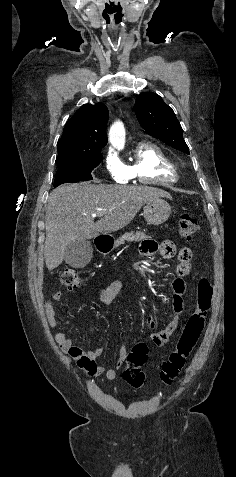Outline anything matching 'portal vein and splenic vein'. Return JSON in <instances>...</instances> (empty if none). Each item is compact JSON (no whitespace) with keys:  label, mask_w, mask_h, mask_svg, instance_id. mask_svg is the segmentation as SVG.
Segmentation results:
<instances>
[{"label":"portal vein and splenic vein","mask_w":236,"mask_h":477,"mask_svg":"<svg viewBox=\"0 0 236 477\" xmlns=\"http://www.w3.org/2000/svg\"><path fill=\"white\" fill-rule=\"evenodd\" d=\"M106 210H103L102 212H97V213H93L92 214V217H102L104 215Z\"/></svg>","instance_id":"1"}]
</instances>
